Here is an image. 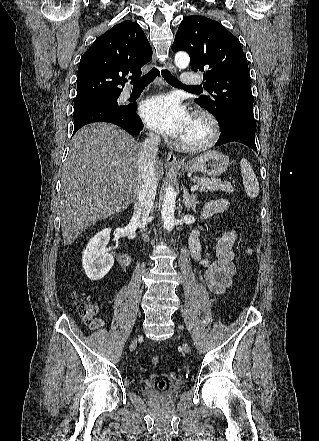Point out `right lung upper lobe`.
<instances>
[{"mask_svg": "<svg viewBox=\"0 0 319 441\" xmlns=\"http://www.w3.org/2000/svg\"><path fill=\"white\" fill-rule=\"evenodd\" d=\"M152 58L151 46L136 22L124 21L98 37L81 57L75 101L119 96L126 75L141 76Z\"/></svg>", "mask_w": 319, "mask_h": 441, "instance_id": "right-lung-upper-lobe-1", "label": "right lung upper lobe"}]
</instances>
